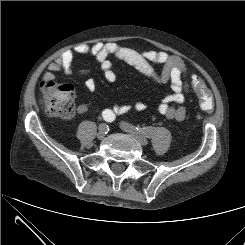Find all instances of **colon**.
<instances>
[{
	"label": "colon",
	"instance_id": "obj_1",
	"mask_svg": "<svg viewBox=\"0 0 245 245\" xmlns=\"http://www.w3.org/2000/svg\"><path fill=\"white\" fill-rule=\"evenodd\" d=\"M191 84L199 98L200 106L204 111L213 109V98L204 81L197 75H192ZM43 94L42 105L44 110L52 116L70 119L75 113L74 89L68 83L43 81L41 83Z\"/></svg>",
	"mask_w": 245,
	"mask_h": 245
}]
</instances>
